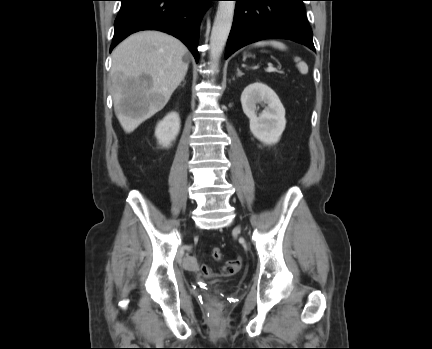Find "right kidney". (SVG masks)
Instances as JSON below:
<instances>
[{
    "instance_id": "1",
    "label": "right kidney",
    "mask_w": 432,
    "mask_h": 349,
    "mask_svg": "<svg viewBox=\"0 0 432 349\" xmlns=\"http://www.w3.org/2000/svg\"><path fill=\"white\" fill-rule=\"evenodd\" d=\"M180 131V118L178 113H168L156 126L155 136L158 143L168 147L174 141Z\"/></svg>"
}]
</instances>
